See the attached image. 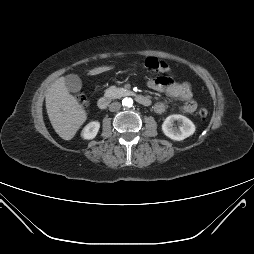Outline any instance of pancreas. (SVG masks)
Segmentation results:
<instances>
[{"label": "pancreas", "mask_w": 254, "mask_h": 254, "mask_svg": "<svg viewBox=\"0 0 254 254\" xmlns=\"http://www.w3.org/2000/svg\"><path fill=\"white\" fill-rule=\"evenodd\" d=\"M126 94H128V91L126 89L117 88L115 86H111L105 90V96L110 97L112 99L120 98L121 96H124Z\"/></svg>", "instance_id": "cf45deb5"}]
</instances>
